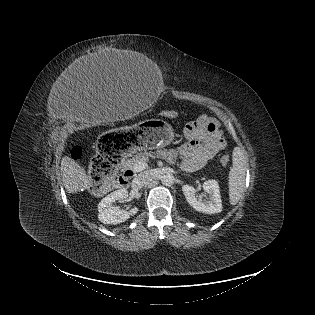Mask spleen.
I'll return each mask as SVG.
<instances>
[{
	"instance_id": "1",
	"label": "spleen",
	"mask_w": 315,
	"mask_h": 315,
	"mask_svg": "<svg viewBox=\"0 0 315 315\" xmlns=\"http://www.w3.org/2000/svg\"><path fill=\"white\" fill-rule=\"evenodd\" d=\"M233 164L229 172V200L231 205H236L243 193L247 161L243 151L236 147L233 150Z\"/></svg>"
}]
</instances>
